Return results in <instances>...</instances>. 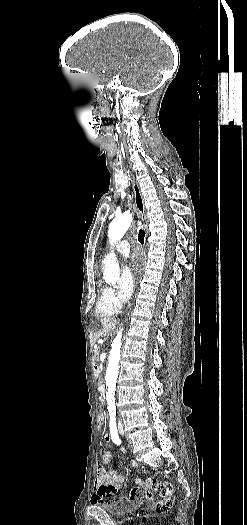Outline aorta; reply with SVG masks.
I'll return each instance as SVG.
<instances>
[{
  "mask_svg": "<svg viewBox=\"0 0 247 525\" xmlns=\"http://www.w3.org/2000/svg\"><path fill=\"white\" fill-rule=\"evenodd\" d=\"M133 220L132 214L128 211L123 215L116 217L109 225L108 237L110 243H115L120 240ZM119 264L117 262L116 255L111 252L104 261L103 277L107 284L115 285L119 279ZM121 339L122 332L119 331L117 336L113 340L111 345L109 362L106 369V397H107V409L111 421L116 418V406H115V388L119 373V360L121 355Z\"/></svg>",
  "mask_w": 247,
  "mask_h": 525,
  "instance_id": "aorta-1",
  "label": "aorta"
}]
</instances>
